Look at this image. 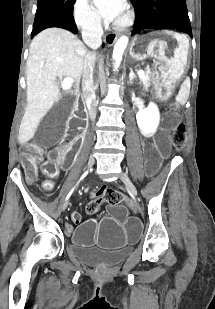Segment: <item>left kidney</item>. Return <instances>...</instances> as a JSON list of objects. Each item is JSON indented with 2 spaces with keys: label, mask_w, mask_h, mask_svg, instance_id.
<instances>
[{
  "label": "left kidney",
  "mask_w": 215,
  "mask_h": 309,
  "mask_svg": "<svg viewBox=\"0 0 215 309\" xmlns=\"http://www.w3.org/2000/svg\"><path fill=\"white\" fill-rule=\"evenodd\" d=\"M137 124L143 134H151L156 132L160 122V112L155 102H149L147 108L138 110L136 114Z\"/></svg>",
  "instance_id": "1"
}]
</instances>
